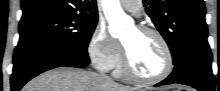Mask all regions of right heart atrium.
<instances>
[{
	"mask_svg": "<svg viewBox=\"0 0 220 91\" xmlns=\"http://www.w3.org/2000/svg\"><path fill=\"white\" fill-rule=\"evenodd\" d=\"M86 48L91 62L100 70H111L120 60V43L108 33L102 22L95 25L88 38Z\"/></svg>",
	"mask_w": 220,
	"mask_h": 91,
	"instance_id": "obj_1",
	"label": "right heart atrium"
}]
</instances>
